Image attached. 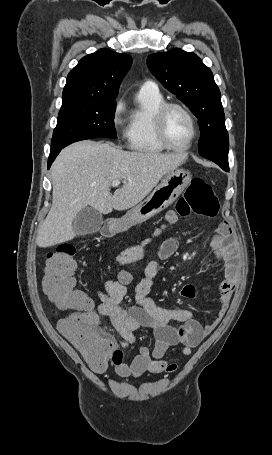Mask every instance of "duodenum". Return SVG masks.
<instances>
[{
	"label": "duodenum",
	"instance_id": "410a0bca",
	"mask_svg": "<svg viewBox=\"0 0 272 455\" xmlns=\"http://www.w3.org/2000/svg\"><path fill=\"white\" fill-rule=\"evenodd\" d=\"M102 233L105 235V236H111L113 235L114 233V226L112 223H107L103 229H102Z\"/></svg>",
	"mask_w": 272,
	"mask_h": 455
}]
</instances>
